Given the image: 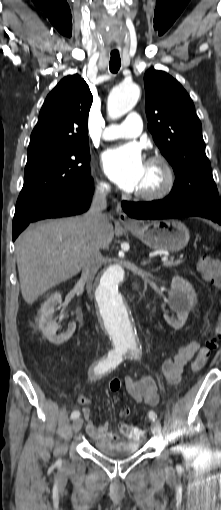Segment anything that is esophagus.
Returning a JSON list of instances; mask_svg holds the SVG:
<instances>
[{
    "label": "esophagus",
    "instance_id": "esophagus-1",
    "mask_svg": "<svg viewBox=\"0 0 221 510\" xmlns=\"http://www.w3.org/2000/svg\"><path fill=\"white\" fill-rule=\"evenodd\" d=\"M118 219L119 221L124 224V225H131V224H134L135 222L130 219L127 214L123 211H120L119 212V216H118Z\"/></svg>",
    "mask_w": 221,
    "mask_h": 510
}]
</instances>
